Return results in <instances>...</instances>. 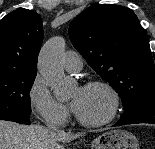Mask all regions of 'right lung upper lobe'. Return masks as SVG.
I'll use <instances>...</instances> for the list:
<instances>
[{"label": "right lung upper lobe", "mask_w": 155, "mask_h": 149, "mask_svg": "<svg viewBox=\"0 0 155 149\" xmlns=\"http://www.w3.org/2000/svg\"><path fill=\"white\" fill-rule=\"evenodd\" d=\"M43 41L40 15L18 8L0 21V73L37 72Z\"/></svg>", "instance_id": "right-lung-upper-lobe-1"}]
</instances>
